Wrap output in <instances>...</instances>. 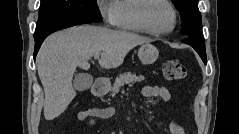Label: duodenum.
Masks as SVG:
<instances>
[{"instance_id":"1","label":"duodenum","mask_w":239,"mask_h":134,"mask_svg":"<svg viewBox=\"0 0 239 134\" xmlns=\"http://www.w3.org/2000/svg\"><path fill=\"white\" fill-rule=\"evenodd\" d=\"M106 87V82L103 77H96L93 87H92V92L95 96H100L104 93Z\"/></svg>"}]
</instances>
